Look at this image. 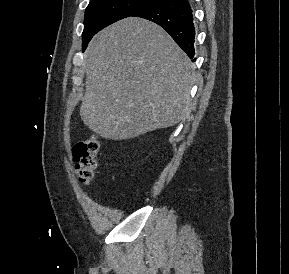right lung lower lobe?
<instances>
[{"instance_id":"right-lung-lower-lobe-1","label":"right lung lower lobe","mask_w":289,"mask_h":274,"mask_svg":"<svg viewBox=\"0 0 289 274\" xmlns=\"http://www.w3.org/2000/svg\"><path fill=\"white\" fill-rule=\"evenodd\" d=\"M132 16L157 23L191 59L194 57L195 28L188 0H162Z\"/></svg>"}]
</instances>
